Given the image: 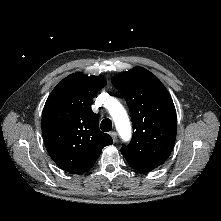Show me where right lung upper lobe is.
<instances>
[{
  "label": "right lung upper lobe",
  "mask_w": 221,
  "mask_h": 221,
  "mask_svg": "<svg viewBox=\"0 0 221 221\" xmlns=\"http://www.w3.org/2000/svg\"><path fill=\"white\" fill-rule=\"evenodd\" d=\"M106 85L97 76L73 73L51 92L42 114L46 149L63 170L81 174L89 170L102 148L113 143L101 133L98 115L91 109L95 94Z\"/></svg>",
  "instance_id": "cb5924a9"
}]
</instances>
